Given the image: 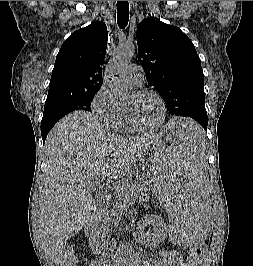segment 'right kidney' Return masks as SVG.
Segmentation results:
<instances>
[{"label":"right kidney","mask_w":253,"mask_h":266,"mask_svg":"<svg viewBox=\"0 0 253 266\" xmlns=\"http://www.w3.org/2000/svg\"><path fill=\"white\" fill-rule=\"evenodd\" d=\"M103 235L101 233L91 234L88 237V244L94 250L95 253H100L101 250V239Z\"/></svg>","instance_id":"obj_1"}]
</instances>
